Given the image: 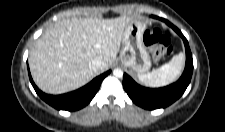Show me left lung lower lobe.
Wrapping results in <instances>:
<instances>
[{
  "instance_id": "left-lung-lower-lobe-1",
  "label": "left lung lower lobe",
  "mask_w": 225,
  "mask_h": 132,
  "mask_svg": "<svg viewBox=\"0 0 225 132\" xmlns=\"http://www.w3.org/2000/svg\"><path fill=\"white\" fill-rule=\"evenodd\" d=\"M158 19L164 21L183 39L186 49V65L182 76L177 82L157 89L142 87L138 85L130 76L124 74L123 87L128 96L135 104L148 110L165 108L179 99L188 87L193 72L192 54L187 39L184 37L181 31L169 21L163 18Z\"/></svg>"
}]
</instances>
